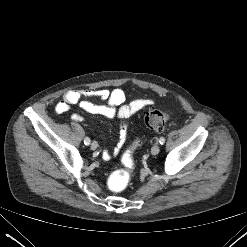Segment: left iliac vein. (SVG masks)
Returning <instances> with one entry per match:
<instances>
[{"instance_id":"1","label":"left iliac vein","mask_w":247,"mask_h":247,"mask_svg":"<svg viewBox=\"0 0 247 247\" xmlns=\"http://www.w3.org/2000/svg\"><path fill=\"white\" fill-rule=\"evenodd\" d=\"M160 152V146L158 144H155L152 148H151V153L153 155H157Z\"/></svg>"}]
</instances>
